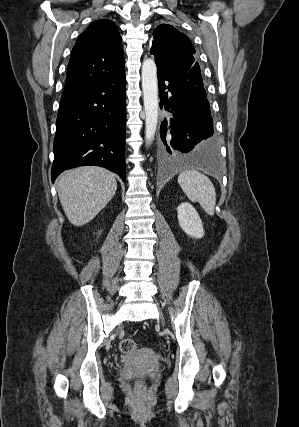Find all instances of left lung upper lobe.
Listing matches in <instances>:
<instances>
[{
    "instance_id": "obj_1",
    "label": "left lung upper lobe",
    "mask_w": 299,
    "mask_h": 427,
    "mask_svg": "<svg viewBox=\"0 0 299 427\" xmlns=\"http://www.w3.org/2000/svg\"><path fill=\"white\" fill-rule=\"evenodd\" d=\"M153 43L150 53L156 57L174 58L181 55H190L193 57L195 49L190 39L174 26L161 24L153 32ZM187 78L197 86L204 87L200 66L194 61L190 66Z\"/></svg>"
}]
</instances>
